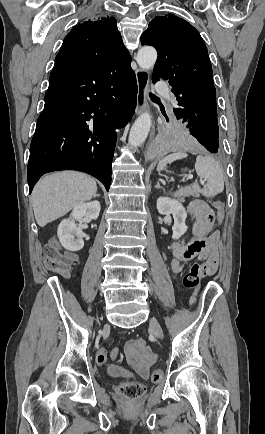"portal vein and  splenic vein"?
<instances>
[{
  "instance_id": "portal-vein-and-splenic-vein-1",
  "label": "portal vein and splenic vein",
  "mask_w": 265,
  "mask_h": 434,
  "mask_svg": "<svg viewBox=\"0 0 265 434\" xmlns=\"http://www.w3.org/2000/svg\"><path fill=\"white\" fill-rule=\"evenodd\" d=\"M189 180H192L193 176L192 174H190V176H188ZM201 184H204L205 180H200Z\"/></svg>"
}]
</instances>
